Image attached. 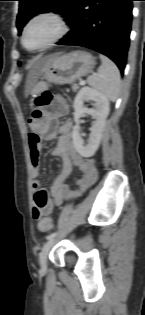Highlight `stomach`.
Instances as JSON below:
<instances>
[{
    "label": "stomach",
    "instance_id": "stomach-1",
    "mask_svg": "<svg viewBox=\"0 0 145 315\" xmlns=\"http://www.w3.org/2000/svg\"><path fill=\"white\" fill-rule=\"evenodd\" d=\"M47 59L48 65L43 69V80L55 84H71L88 75L95 66L94 57L86 51H74L67 54H54Z\"/></svg>",
    "mask_w": 145,
    "mask_h": 315
}]
</instances>
